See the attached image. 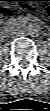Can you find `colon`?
<instances>
[{
    "label": "colon",
    "instance_id": "obj_1",
    "mask_svg": "<svg viewBox=\"0 0 50 111\" xmlns=\"http://www.w3.org/2000/svg\"><path fill=\"white\" fill-rule=\"evenodd\" d=\"M40 1V0H39ZM28 6V3H24L23 5H22V7L23 8H26ZM46 10L48 11V7L46 8Z\"/></svg>",
    "mask_w": 50,
    "mask_h": 111
}]
</instances>
